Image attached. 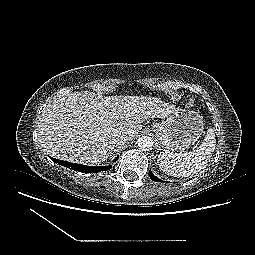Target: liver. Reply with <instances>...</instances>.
<instances>
[{"mask_svg": "<svg viewBox=\"0 0 255 255\" xmlns=\"http://www.w3.org/2000/svg\"><path fill=\"white\" fill-rule=\"evenodd\" d=\"M174 106L156 97L96 96L83 91L54 98L41 114L38 141L56 158L101 164L120 147L115 138H134L148 118H166Z\"/></svg>", "mask_w": 255, "mask_h": 255, "instance_id": "obj_1", "label": "liver"}]
</instances>
